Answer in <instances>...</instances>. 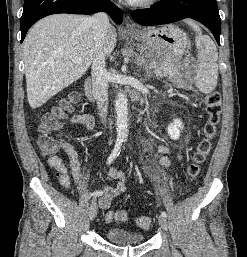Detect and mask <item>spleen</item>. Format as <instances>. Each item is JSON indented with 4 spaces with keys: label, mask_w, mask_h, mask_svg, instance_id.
<instances>
[{
    "label": "spleen",
    "mask_w": 247,
    "mask_h": 257,
    "mask_svg": "<svg viewBox=\"0 0 247 257\" xmlns=\"http://www.w3.org/2000/svg\"><path fill=\"white\" fill-rule=\"evenodd\" d=\"M185 22L196 32L195 44L198 51L196 86L202 93H210L215 89L218 80L217 48L209 36L202 34L201 28L196 23L191 20Z\"/></svg>",
    "instance_id": "3e777b00"
}]
</instances>
